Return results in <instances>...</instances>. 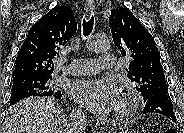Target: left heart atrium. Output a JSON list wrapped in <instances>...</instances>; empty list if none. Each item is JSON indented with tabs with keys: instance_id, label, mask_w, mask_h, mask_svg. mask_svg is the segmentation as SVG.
Instances as JSON below:
<instances>
[{
	"instance_id": "obj_1",
	"label": "left heart atrium",
	"mask_w": 184,
	"mask_h": 133,
	"mask_svg": "<svg viewBox=\"0 0 184 133\" xmlns=\"http://www.w3.org/2000/svg\"><path fill=\"white\" fill-rule=\"evenodd\" d=\"M72 98L81 106L96 114H103L116 107L119 93L111 79H80L72 83Z\"/></svg>"
}]
</instances>
